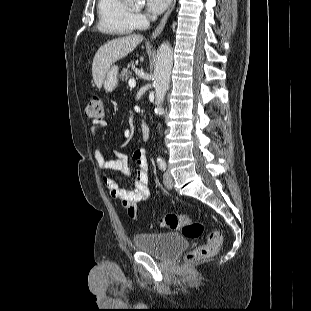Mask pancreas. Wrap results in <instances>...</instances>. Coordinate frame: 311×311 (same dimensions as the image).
Masks as SVG:
<instances>
[{"mask_svg":"<svg viewBox=\"0 0 311 311\" xmlns=\"http://www.w3.org/2000/svg\"><path fill=\"white\" fill-rule=\"evenodd\" d=\"M131 76H132V71L129 69V67L123 68L122 71H121V74L119 75V77L123 81L127 80Z\"/></svg>","mask_w":311,"mask_h":311,"instance_id":"pancreas-1","label":"pancreas"}]
</instances>
